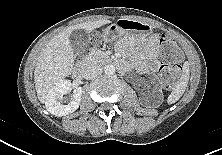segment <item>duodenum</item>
<instances>
[{"instance_id": "1", "label": "duodenum", "mask_w": 222, "mask_h": 155, "mask_svg": "<svg viewBox=\"0 0 222 155\" xmlns=\"http://www.w3.org/2000/svg\"><path fill=\"white\" fill-rule=\"evenodd\" d=\"M90 57H91V54L87 53L85 55V57L83 58V60H81L79 63H77V65L75 66V68L72 72L73 78H75V79L82 78L85 68H86V64H87L88 60L90 59Z\"/></svg>"}]
</instances>
